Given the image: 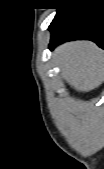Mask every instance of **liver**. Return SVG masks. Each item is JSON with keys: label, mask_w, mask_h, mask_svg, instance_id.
Here are the masks:
<instances>
[{"label": "liver", "mask_w": 104, "mask_h": 169, "mask_svg": "<svg viewBox=\"0 0 104 169\" xmlns=\"http://www.w3.org/2000/svg\"><path fill=\"white\" fill-rule=\"evenodd\" d=\"M63 79L79 92H89L103 82V51L93 42H68L55 51Z\"/></svg>", "instance_id": "obj_1"}]
</instances>
